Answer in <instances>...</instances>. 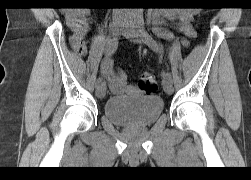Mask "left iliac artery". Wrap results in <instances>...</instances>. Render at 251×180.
Returning <instances> with one entry per match:
<instances>
[{"label": "left iliac artery", "mask_w": 251, "mask_h": 180, "mask_svg": "<svg viewBox=\"0 0 251 180\" xmlns=\"http://www.w3.org/2000/svg\"><path fill=\"white\" fill-rule=\"evenodd\" d=\"M135 25L139 33L144 39V42L155 52H160L159 44L152 38V36L146 31L143 16L141 14H136ZM163 77L172 81L171 74L169 72H164Z\"/></svg>", "instance_id": "left-iliac-artery-1"}]
</instances>
